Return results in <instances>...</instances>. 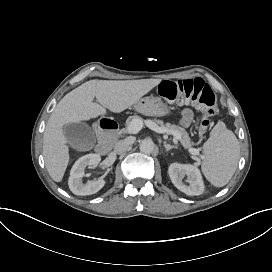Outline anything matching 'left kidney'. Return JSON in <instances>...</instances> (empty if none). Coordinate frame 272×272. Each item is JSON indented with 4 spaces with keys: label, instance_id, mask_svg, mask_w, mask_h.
<instances>
[{
    "label": "left kidney",
    "instance_id": "left-kidney-1",
    "mask_svg": "<svg viewBox=\"0 0 272 272\" xmlns=\"http://www.w3.org/2000/svg\"><path fill=\"white\" fill-rule=\"evenodd\" d=\"M169 176L175 187L187 195H200L203 192L201 175L198 169L191 165L172 164ZM185 177L186 180L183 181Z\"/></svg>",
    "mask_w": 272,
    "mask_h": 272
}]
</instances>
